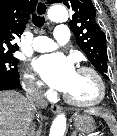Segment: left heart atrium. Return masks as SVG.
Here are the masks:
<instances>
[{"instance_id": "left-heart-atrium-1", "label": "left heart atrium", "mask_w": 117, "mask_h": 136, "mask_svg": "<svg viewBox=\"0 0 117 136\" xmlns=\"http://www.w3.org/2000/svg\"><path fill=\"white\" fill-rule=\"evenodd\" d=\"M35 68L49 86L63 92L68 90L76 74L72 58L61 53L41 56Z\"/></svg>"}]
</instances>
